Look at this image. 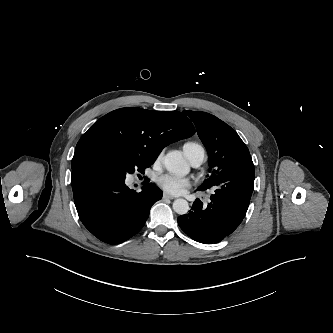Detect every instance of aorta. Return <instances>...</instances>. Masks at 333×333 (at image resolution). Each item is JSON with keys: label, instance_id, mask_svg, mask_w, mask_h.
I'll use <instances>...</instances> for the list:
<instances>
[{"label": "aorta", "instance_id": "1", "mask_svg": "<svg viewBox=\"0 0 333 333\" xmlns=\"http://www.w3.org/2000/svg\"><path fill=\"white\" fill-rule=\"evenodd\" d=\"M164 166L170 173L179 177L186 176L190 171L188 163L177 151L167 153L164 158ZM173 210L179 215H184L189 211V204L185 199H176L173 202Z\"/></svg>", "mask_w": 333, "mask_h": 333}]
</instances>
